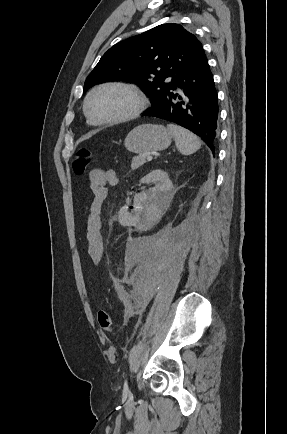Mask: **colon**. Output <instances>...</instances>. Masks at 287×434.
<instances>
[{
	"label": "colon",
	"mask_w": 287,
	"mask_h": 434,
	"mask_svg": "<svg viewBox=\"0 0 287 434\" xmlns=\"http://www.w3.org/2000/svg\"><path fill=\"white\" fill-rule=\"evenodd\" d=\"M91 151L89 149H81L75 155L72 162V169L75 174L82 175L85 173L90 164ZM97 320L103 331L110 333L114 329V320L112 315L105 311L100 310L97 313Z\"/></svg>",
	"instance_id": "1"
}]
</instances>
